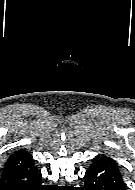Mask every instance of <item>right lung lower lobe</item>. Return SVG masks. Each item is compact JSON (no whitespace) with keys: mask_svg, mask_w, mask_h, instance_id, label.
Wrapping results in <instances>:
<instances>
[{"mask_svg":"<svg viewBox=\"0 0 135 190\" xmlns=\"http://www.w3.org/2000/svg\"><path fill=\"white\" fill-rule=\"evenodd\" d=\"M41 173L28 153L11 155L1 174L0 190H46Z\"/></svg>","mask_w":135,"mask_h":190,"instance_id":"98d812e1","label":"right lung lower lobe"}]
</instances>
